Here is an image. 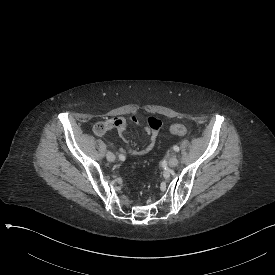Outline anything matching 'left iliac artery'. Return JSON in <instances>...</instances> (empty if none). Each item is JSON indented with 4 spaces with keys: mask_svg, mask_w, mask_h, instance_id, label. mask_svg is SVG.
<instances>
[{
    "mask_svg": "<svg viewBox=\"0 0 275 275\" xmlns=\"http://www.w3.org/2000/svg\"><path fill=\"white\" fill-rule=\"evenodd\" d=\"M173 149H174L175 152H178V151H179V147L176 146V145L173 147Z\"/></svg>",
    "mask_w": 275,
    "mask_h": 275,
    "instance_id": "left-iliac-artery-1",
    "label": "left iliac artery"
}]
</instances>
